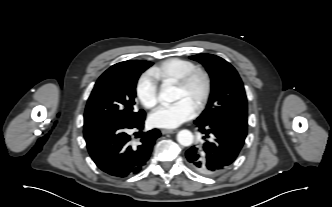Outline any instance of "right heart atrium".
I'll use <instances>...</instances> for the list:
<instances>
[{
  "label": "right heart atrium",
  "instance_id": "1",
  "mask_svg": "<svg viewBox=\"0 0 332 207\" xmlns=\"http://www.w3.org/2000/svg\"><path fill=\"white\" fill-rule=\"evenodd\" d=\"M136 95L141 104L151 109L158 103V82L149 72L142 74L136 83Z\"/></svg>",
  "mask_w": 332,
  "mask_h": 207
}]
</instances>
